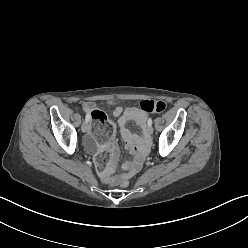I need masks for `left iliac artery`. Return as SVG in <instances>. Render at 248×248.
<instances>
[{"instance_id":"left-iliac-artery-1","label":"left iliac artery","mask_w":248,"mask_h":248,"mask_svg":"<svg viewBox=\"0 0 248 248\" xmlns=\"http://www.w3.org/2000/svg\"><path fill=\"white\" fill-rule=\"evenodd\" d=\"M148 125L149 126L152 125V119L151 118H149V120H148Z\"/></svg>"}]
</instances>
